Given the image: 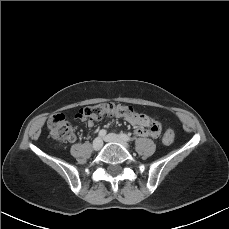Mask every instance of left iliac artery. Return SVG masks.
I'll return each instance as SVG.
<instances>
[{
    "label": "left iliac artery",
    "instance_id": "44dca946",
    "mask_svg": "<svg viewBox=\"0 0 229 229\" xmlns=\"http://www.w3.org/2000/svg\"><path fill=\"white\" fill-rule=\"evenodd\" d=\"M119 136L125 141H132L131 137L125 133H120Z\"/></svg>",
    "mask_w": 229,
    "mask_h": 229
}]
</instances>
